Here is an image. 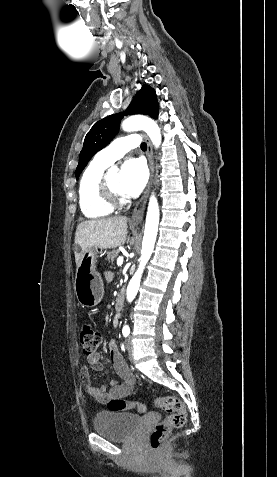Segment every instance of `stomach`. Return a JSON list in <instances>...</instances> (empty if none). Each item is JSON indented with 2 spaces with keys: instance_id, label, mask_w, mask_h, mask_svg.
I'll return each mask as SVG.
<instances>
[{
  "instance_id": "stomach-1",
  "label": "stomach",
  "mask_w": 277,
  "mask_h": 477,
  "mask_svg": "<svg viewBox=\"0 0 277 477\" xmlns=\"http://www.w3.org/2000/svg\"><path fill=\"white\" fill-rule=\"evenodd\" d=\"M97 248L86 250L76 268L74 289L78 302L83 307H94L103 298L104 286L96 272Z\"/></svg>"
}]
</instances>
